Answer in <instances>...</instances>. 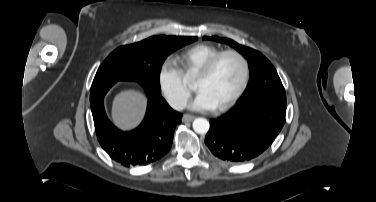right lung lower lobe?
Wrapping results in <instances>:
<instances>
[{
    "label": "right lung lower lobe",
    "instance_id": "98d812e1",
    "mask_svg": "<svg viewBox=\"0 0 376 202\" xmlns=\"http://www.w3.org/2000/svg\"><path fill=\"white\" fill-rule=\"evenodd\" d=\"M115 82L91 87L90 105L97 139L109 156L123 166L147 165L171 148L175 127L182 114L173 110L161 97L160 90L141 83L147 97L146 116L138 128L122 132L112 125L104 110V96Z\"/></svg>",
    "mask_w": 376,
    "mask_h": 202
}]
</instances>
